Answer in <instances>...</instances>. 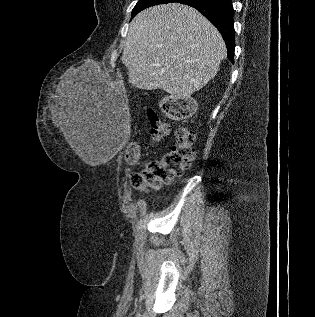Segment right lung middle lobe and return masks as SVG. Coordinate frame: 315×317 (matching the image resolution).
Returning a JSON list of instances; mask_svg holds the SVG:
<instances>
[{"label":"right lung middle lobe","instance_id":"dd1d6c3e","mask_svg":"<svg viewBox=\"0 0 315 317\" xmlns=\"http://www.w3.org/2000/svg\"><path fill=\"white\" fill-rule=\"evenodd\" d=\"M177 1L178 0H139L132 10V17H134L137 13H139L145 8L158 4L173 3Z\"/></svg>","mask_w":315,"mask_h":317}]
</instances>
